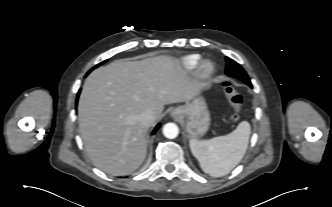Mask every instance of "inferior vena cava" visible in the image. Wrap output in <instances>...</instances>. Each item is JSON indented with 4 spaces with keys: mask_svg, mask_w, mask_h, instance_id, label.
Wrapping results in <instances>:
<instances>
[{
    "mask_svg": "<svg viewBox=\"0 0 332 207\" xmlns=\"http://www.w3.org/2000/svg\"><path fill=\"white\" fill-rule=\"evenodd\" d=\"M154 119V114L151 111H145L139 116L140 122L148 127L154 122Z\"/></svg>",
    "mask_w": 332,
    "mask_h": 207,
    "instance_id": "1",
    "label": "inferior vena cava"
}]
</instances>
